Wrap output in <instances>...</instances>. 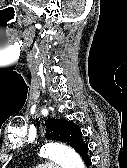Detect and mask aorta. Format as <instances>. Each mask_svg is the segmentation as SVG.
<instances>
[{
	"label": "aorta",
	"instance_id": "762f6f07",
	"mask_svg": "<svg viewBox=\"0 0 127 168\" xmlns=\"http://www.w3.org/2000/svg\"><path fill=\"white\" fill-rule=\"evenodd\" d=\"M40 156L55 161L62 168H85L80 156L72 148L60 143L46 144Z\"/></svg>",
	"mask_w": 127,
	"mask_h": 168
}]
</instances>
